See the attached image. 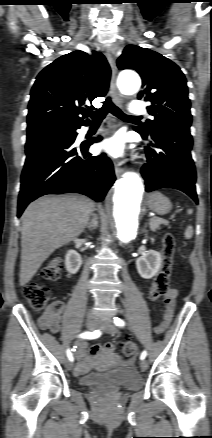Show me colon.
<instances>
[{"label":"colon","instance_id":"1","mask_svg":"<svg viewBox=\"0 0 212 438\" xmlns=\"http://www.w3.org/2000/svg\"><path fill=\"white\" fill-rule=\"evenodd\" d=\"M175 252V237L167 233L163 238V260L160 270L158 271L154 283L148 291L147 298L155 301L164 296L169 289L170 275ZM62 271V262L59 258L51 260L43 269L42 277L49 281H56ZM24 296L29 305L34 310H42L47 304L50 297V290L47 286L29 283L24 288ZM122 350L125 355H132L135 352V345L131 341L122 344Z\"/></svg>","mask_w":212,"mask_h":438}]
</instances>
